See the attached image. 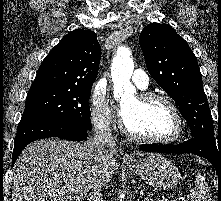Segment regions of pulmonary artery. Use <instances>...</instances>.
Returning a JSON list of instances; mask_svg holds the SVG:
<instances>
[{
    "label": "pulmonary artery",
    "mask_w": 221,
    "mask_h": 201,
    "mask_svg": "<svg viewBox=\"0 0 221 201\" xmlns=\"http://www.w3.org/2000/svg\"><path fill=\"white\" fill-rule=\"evenodd\" d=\"M132 81L139 89L142 90L147 89L149 86V77L146 72L141 69H136L133 72Z\"/></svg>",
    "instance_id": "e3ab8cb5"
}]
</instances>
